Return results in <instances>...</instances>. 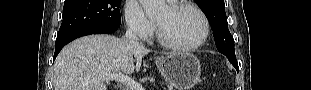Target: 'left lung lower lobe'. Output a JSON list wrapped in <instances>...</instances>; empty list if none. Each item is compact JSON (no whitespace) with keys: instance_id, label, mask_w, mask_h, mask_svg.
I'll return each instance as SVG.
<instances>
[{"instance_id":"obj_1","label":"left lung lower lobe","mask_w":311,"mask_h":90,"mask_svg":"<svg viewBox=\"0 0 311 90\" xmlns=\"http://www.w3.org/2000/svg\"><path fill=\"white\" fill-rule=\"evenodd\" d=\"M232 64H233V66L237 69V71H238V64H237V61L236 60H229Z\"/></svg>"}]
</instances>
